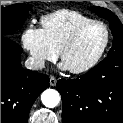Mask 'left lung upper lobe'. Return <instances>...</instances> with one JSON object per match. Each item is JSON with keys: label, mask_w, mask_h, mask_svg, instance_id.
<instances>
[{"label": "left lung upper lobe", "mask_w": 123, "mask_h": 123, "mask_svg": "<svg viewBox=\"0 0 123 123\" xmlns=\"http://www.w3.org/2000/svg\"><path fill=\"white\" fill-rule=\"evenodd\" d=\"M89 10L96 13L98 16L104 17L109 20L110 29L113 34V45L110 49L108 56L123 52V27L120 20L108 9L101 7H90Z\"/></svg>", "instance_id": "left-lung-upper-lobe-1"}]
</instances>
